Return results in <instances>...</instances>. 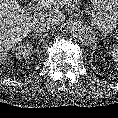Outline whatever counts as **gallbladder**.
<instances>
[{"mask_svg": "<svg viewBox=\"0 0 118 118\" xmlns=\"http://www.w3.org/2000/svg\"><path fill=\"white\" fill-rule=\"evenodd\" d=\"M29 8V5L25 6V9H28Z\"/></svg>", "mask_w": 118, "mask_h": 118, "instance_id": "obj_1", "label": "gallbladder"}]
</instances>
